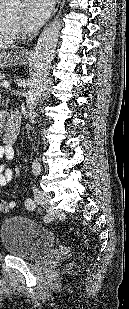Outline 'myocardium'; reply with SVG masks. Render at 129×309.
<instances>
[{"label":"myocardium","instance_id":"obj_1","mask_svg":"<svg viewBox=\"0 0 129 309\" xmlns=\"http://www.w3.org/2000/svg\"><path fill=\"white\" fill-rule=\"evenodd\" d=\"M6 21L12 32L19 36L22 34V29L20 26L16 25L13 21H11L9 18L6 17Z\"/></svg>","mask_w":129,"mask_h":309}]
</instances>
